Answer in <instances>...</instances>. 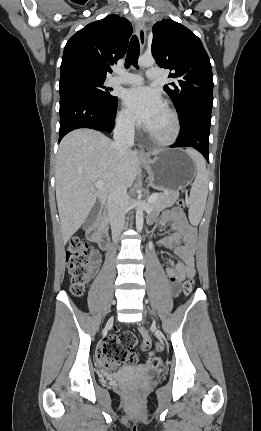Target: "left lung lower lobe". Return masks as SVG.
<instances>
[{
	"label": "left lung lower lobe",
	"instance_id": "0a47b994",
	"mask_svg": "<svg viewBox=\"0 0 261 431\" xmlns=\"http://www.w3.org/2000/svg\"><path fill=\"white\" fill-rule=\"evenodd\" d=\"M211 107L200 106L180 117V135L171 147H193L209 162Z\"/></svg>",
	"mask_w": 261,
	"mask_h": 431
}]
</instances>
